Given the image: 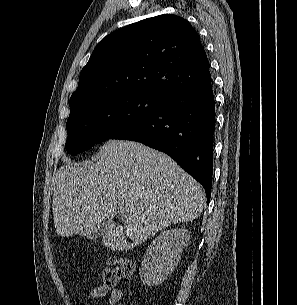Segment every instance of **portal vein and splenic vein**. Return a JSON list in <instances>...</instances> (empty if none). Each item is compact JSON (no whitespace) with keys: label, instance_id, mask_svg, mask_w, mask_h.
<instances>
[{"label":"portal vein and splenic vein","instance_id":"portal-vein-and-splenic-vein-1","mask_svg":"<svg viewBox=\"0 0 297 305\" xmlns=\"http://www.w3.org/2000/svg\"><path fill=\"white\" fill-rule=\"evenodd\" d=\"M118 213L121 214V215H124L125 211H124V209L119 208V209H118Z\"/></svg>","mask_w":297,"mask_h":305}]
</instances>
